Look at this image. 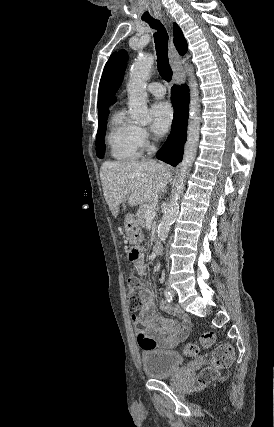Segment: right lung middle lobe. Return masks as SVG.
I'll return each instance as SVG.
<instances>
[{
    "label": "right lung middle lobe",
    "mask_w": 274,
    "mask_h": 427,
    "mask_svg": "<svg viewBox=\"0 0 274 427\" xmlns=\"http://www.w3.org/2000/svg\"><path fill=\"white\" fill-rule=\"evenodd\" d=\"M109 114V110L99 113V125L98 132L96 137V153L99 158L104 157L105 153V144H104V136L106 132V120Z\"/></svg>",
    "instance_id": "right-lung-middle-lobe-1"
}]
</instances>
